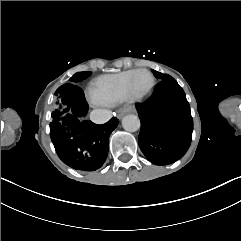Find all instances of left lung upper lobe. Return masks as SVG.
Listing matches in <instances>:
<instances>
[{
  "mask_svg": "<svg viewBox=\"0 0 241 241\" xmlns=\"http://www.w3.org/2000/svg\"><path fill=\"white\" fill-rule=\"evenodd\" d=\"M152 71H153L155 77H157V78H159V79H161V80H163V79H169V78L171 77V76H169V75H167V74H162V73L157 72V71H154V70H152Z\"/></svg>",
  "mask_w": 241,
  "mask_h": 241,
  "instance_id": "5c2ea615",
  "label": "left lung upper lobe"
}]
</instances>
